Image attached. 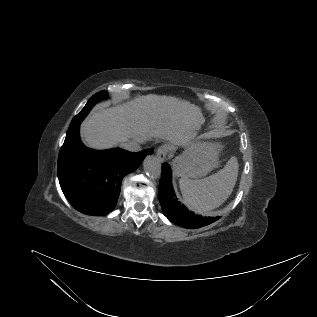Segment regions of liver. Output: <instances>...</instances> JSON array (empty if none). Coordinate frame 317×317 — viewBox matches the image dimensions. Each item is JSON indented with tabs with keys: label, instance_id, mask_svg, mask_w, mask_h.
I'll return each mask as SVG.
<instances>
[{
	"label": "liver",
	"instance_id": "6515ba94",
	"mask_svg": "<svg viewBox=\"0 0 317 317\" xmlns=\"http://www.w3.org/2000/svg\"><path fill=\"white\" fill-rule=\"evenodd\" d=\"M202 121L198 106L173 96L149 94L113 107L95 109L81 124V135L94 149L152 138L185 145Z\"/></svg>",
	"mask_w": 317,
	"mask_h": 317
}]
</instances>
